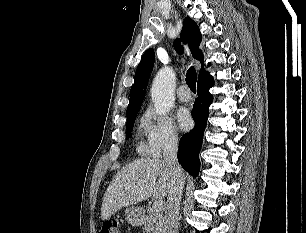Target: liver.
Segmentation results:
<instances>
[{"instance_id": "obj_1", "label": "liver", "mask_w": 306, "mask_h": 233, "mask_svg": "<svg viewBox=\"0 0 306 233\" xmlns=\"http://www.w3.org/2000/svg\"><path fill=\"white\" fill-rule=\"evenodd\" d=\"M171 182V170L163 160L145 158L129 163L118 171L105 192L101 207L102 220H107L123 207L149 197H166Z\"/></svg>"}]
</instances>
